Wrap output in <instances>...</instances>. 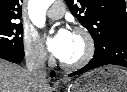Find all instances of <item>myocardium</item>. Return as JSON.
Segmentation results:
<instances>
[{"instance_id": "1", "label": "myocardium", "mask_w": 127, "mask_h": 92, "mask_svg": "<svg viewBox=\"0 0 127 92\" xmlns=\"http://www.w3.org/2000/svg\"><path fill=\"white\" fill-rule=\"evenodd\" d=\"M73 34L81 36L85 41V52L80 59L74 62H64L60 60V66L66 70H78L87 65L95 54V41L92 34L83 27H76Z\"/></svg>"}]
</instances>
